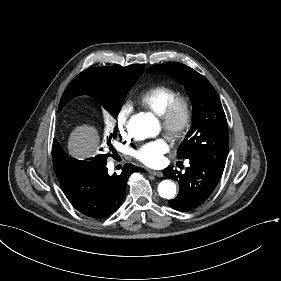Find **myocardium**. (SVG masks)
Listing matches in <instances>:
<instances>
[{"instance_id": "obj_1", "label": "myocardium", "mask_w": 281, "mask_h": 281, "mask_svg": "<svg viewBox=\"0 0 281 281\" xmlns=\"http://www.w3.org/2000/svg\"><path fill=\"white\" fill-rule=\"evenodd\" d=\"M161 129L165 134L177 139L182 137L189 129L192 122V108L189 101L184 97L173 99L158 116Z\"/></svg>"}]
</instances>
